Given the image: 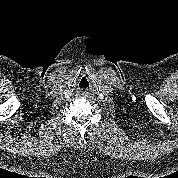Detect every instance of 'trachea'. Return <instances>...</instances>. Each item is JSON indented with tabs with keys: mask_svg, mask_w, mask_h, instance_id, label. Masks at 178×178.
Returning a JSON list of instances; mask_svg holds the SVG:
<instances>
[{
	"mask_svg": "<svg viewBox=\"0 0 178 178\" xmlns=\"http://www.w3.org/2000/svg\"><path fill=\"white\" fill-rule=\"evenodd\" d=\"M90 86V83L87 78L83 77L78 82V87L82 90L88 89Z\"/></svg>",
	"mask_w": 178,
	"mask_h": 178,
	"instance_id": "1",
	"label": "trachea"
}]
</instances>
